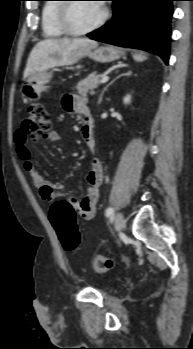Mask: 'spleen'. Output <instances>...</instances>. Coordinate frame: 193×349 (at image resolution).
Returning <instances> with one entry per match:
<instances>
[{
    "label": "spleen",
    "mask_w": 193,
    "mask_h": 349,
    "mask_svg": "<svg viewBox=\"0 0 193 349\" xmlns=\"http://www.w3.org/2000/svg\"><path fill=\"white\" fill-rule=\"evenodd\" d=\"M133 57H134V59H135L136 61H138V62H142V61H144V60L147 59V56L144 55V54H142V53H140V54H134Z\"/></svg>",
    "instance_id": "spleen-1"
}]
</instances>
